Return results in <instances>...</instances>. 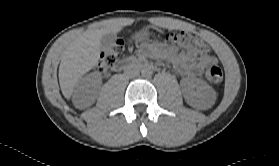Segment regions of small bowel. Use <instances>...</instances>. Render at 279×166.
<instances>
[{
  "instance_id": "small-bowel-1",
  "label": "small bowel",
  "mask_w": 279,
  "mask_h": 166,
  "mask_svg": "<svg viewBox=\"0 0 279 166\" xmlns=\"http://www.w3.org/2000/svg\"><path fill=\"white\" fill-rule=\"evenodd\" d=\"M144 52L157 57L168 58L174 68L182 75H199L206 66L216 62V59L210 55H204L198 61H195L188 55L178 54L175 50L162 46L145 47Z\"/></svg>"
}]
</instances>
